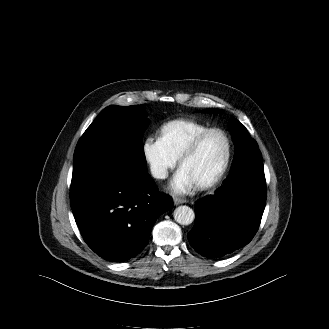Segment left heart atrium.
<instances>
[{
  "instance_id": "left-heart-atrium-1",
  "label": "left heart atrium",
  "mask_w": 329,
  "mask_h": 329,
  "mask_svg": "<svg viewBox=\"0 0 329 329\" xmlns=\"http://www.w3.org/2000/svg\"><path fill=\"white\" fill-rule=\"evenodd\" d=\"M170 187L176 194H188L197 188V184L180 167L176 172V174L174 175Z\"/></svg>"
}]
</instances>
